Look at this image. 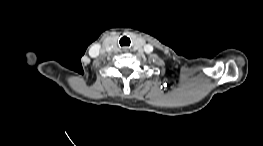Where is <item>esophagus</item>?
Listing matches in <instances>:
<instances>
[{"label":"esophagus","mask_w":263,"mask_h":146,"mask_svg":"<svg viewBox=\"0 0 263 146\" xmlns=\"http://www.w3.org/2000/svg\"><path fill=\"white\" fill-rule=\"evenodd\" d=\"M128 49H129L128 47H124V48H123V51L126 52V51H128Z\"/></svg>","instance_id":"1"}]
</instances>
